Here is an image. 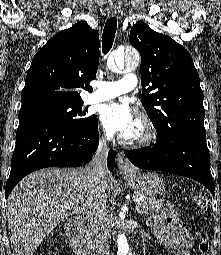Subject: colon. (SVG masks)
I'll list each match as a JSON object with an SVG mask.
<instances>
[{"label": "colon", "mask_w": 221, "mask_h": 255, "mask_svg": "<svg viewBox=\"0 0 221 255\" xmlns=\"http://www.w3.org/2000/svg\"><path fill=\"white\" fill-rule=\"evenodd\" d=\"M194 203L195 205L202 211H205L208 207V199L204 193H197L194 195ZM209 249V240L206 233H203L200 237L198 250L201 255H207Z\"/></svg>", "instance_id": "colon-1"}]
</instances>
